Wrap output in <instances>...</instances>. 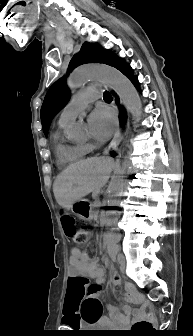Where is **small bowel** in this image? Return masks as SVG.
Instances as JSON below:
<instances>
[{"mask_svg":"<svg viewBox=\"0 0 193 336\" xmlns=\"http://www.w3.org/2000/svg\"><path fill=\"white\" fill-rule=\"evenodd\" d=\"M90 246L87 249L74 248L70 253L69 279L67 288V300L64 308V324L72 326L74 321H79L83 316L84 296L78 283L82 279L92 278L97 283H103L106 279L105 271L99 266L98 260L90 256ZM112 284L118 286L121 284L120 276L114 271L112 275ZM124 299L127 302H139L142 298L136 288L131 283L124 285ZM110 318L101 319L99 324L104 326L122 325L131 315L137 314L136 310H132L129 306L122 308L108 305Z\"/></svg>","mask_w":193,"mask_h":336,"instance_id":"obj_1","label":"small bowel"}]
</instances>
